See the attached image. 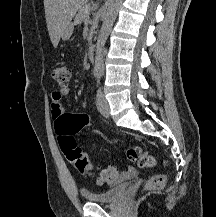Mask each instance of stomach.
<instances>
[{
	"instance_id": "1",
	"label": "stomach",
	"mask_w": 216,
	"mask_h": 217,
	"mask_svg": "<svg viewBox=\"0 0 216 217\" xmlns=\"http://www.w3.org/2000/svg\"><path fill=\"white\" fill-rule=\"evenodd\" d=\"M74 25L71 23L70 25L67 26L65 31L62 34V39L67 40L70 38L73 32Z\"/></svg>"
}]
</instances>
